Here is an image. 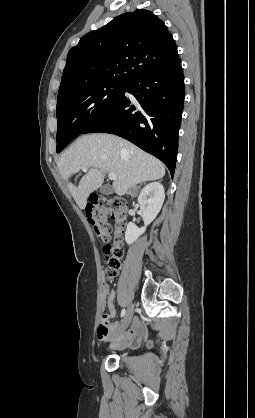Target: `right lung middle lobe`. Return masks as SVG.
Returning <instances> with one entry per match:
<instances>
[{
  "mask_svg": "<svg viewBox=\"0 0 255 418\" xmlns=\"http://www.w3.org/2000/svg\"><path fill=\"white\" fill-rule=\"evenodd\" d=\"M126 85L99 82L58 94L57 153L92 123L105 116Z\"/></svg>",
  "mask_w": 255,
  "mask_h": 418,
  "instance_id": "obj_1",
  "label": "right lung middle lobe"
}]
</instances>
